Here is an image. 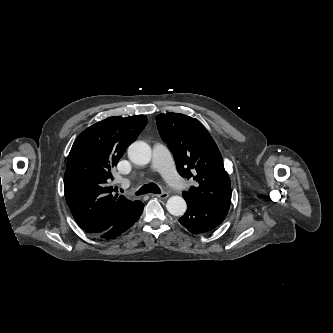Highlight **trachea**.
I'll use <instances>...</instances> for the list:
<instances>
[{"instance_id": "trachea-1", "label": "trachea", "mask_w": 333, "mask_h": 333, "mask_svg": "<svg viewBox=\"0 0 333 333\" xmlns=\"http://www.w3.org/2000/svg\"><path fill=\"white\" fill-rule=\"evenodd\" d=\"M147 193H156L160 194L161 190L155 183H150L148 185H143L137 192V195L147 194Z\"/></svg>"}]
</instances>
